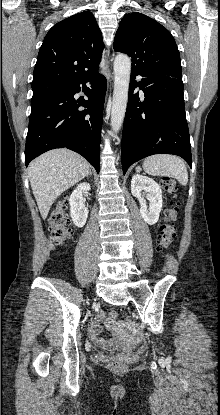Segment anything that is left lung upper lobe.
<instances>
[{
  "label": "left lung upper lobe",
  "instance_id": "5c2ea615",
  "mask_svg": "<svg viewBox=\"0 0 220 415\" xmlns=\"http://www.w3.org/2000/svg\"><path fill=\"white\" fill-rule=\"evenodd\" d=\"M114 50L131 56L132 70L182 77L180 54L173 36L154 19L133 12L123 17Z\"/></svg>",
  "mask_w": 220,
  "mask_h": 415
}]
</instances>
